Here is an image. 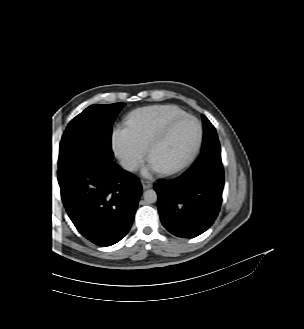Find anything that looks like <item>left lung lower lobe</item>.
Masks as SVG:
<instances>
[{"mask_svg":"<svg viewBox=\"0 0 304 329\" xmlns=\"http://www.w3.org/2000/svg\"><path fill=\"white\" fill-rule=\"evenodd\" d=\"M217 139L206 146L197 161L180 177L154 185L164 227L182 238L205 232L216 219L222 202L224 171Z\"/></svg>","mask_w":304,"mask_h":329,"instance_id":"0a47b994","label":"left lung lower lobe"}]
</instances>
